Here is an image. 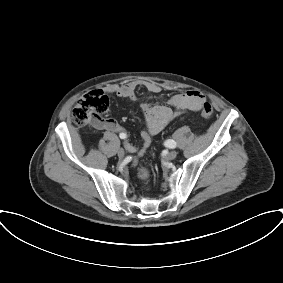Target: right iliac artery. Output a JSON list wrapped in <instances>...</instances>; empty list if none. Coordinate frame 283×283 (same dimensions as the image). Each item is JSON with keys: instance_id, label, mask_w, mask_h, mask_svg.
Instances as JSON below:
<instances>
[{"instance_id": "obj_1", "label": "right iliac artery", "mask_w": 283, "mask_h": 283, "mask_svg": "<svg viewBox=\"0 0 283 283\" xmlns=\"http://www.w3.org/2000/svg\"><path fill=\"white\" fill-rule=\"evenodd\" d=\"M119 137H120L121 139H125V138H126V134L120 133Z\"/></svg>"}]
</instances>
